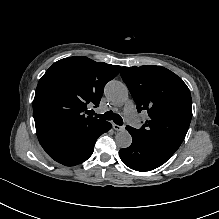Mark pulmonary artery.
Wrapping results in <instances>:
<instances>
[{
    "label": "pulmonary artery",
    "instance_id": "pulmonary-artery-1",
    "mask_svg": "<svg viewBox=\"0 0 219 219\" xmlns=\"http://www.w3.org/2000/svg\"><path fill=\"white\" fill-rule=\"evenodd\" d=\"M124 113L126 118H128L129 123L136 124L139 121V116L136 114L134 109L133 101L128 99L124 105Z\"/></svg>",
    "mask_w": 219,
    "mask_h": 219
}]
</instances>
